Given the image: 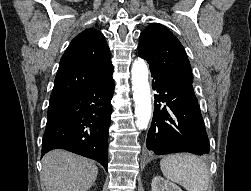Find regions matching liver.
Wrapping results in <instances>:
<instances>
[{
  "mask_svg": "<svg viewBox=\"0 0 251 191\" xmlns=\"http://www.w3.org/2000/svg\"><path fill=\"white\" fill-rule=\"evenodd\" d=\"M97 173L93 161L63 149H52L42 159L41 177L47 191H87Z\"/></svg>",
  "mask_w": 251,
  "mask_h": 191,
  "instance_id": "obj_1",
  "label": "liver"
}]
</instances>
